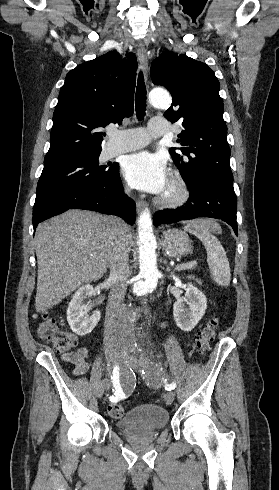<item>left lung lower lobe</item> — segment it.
<instances>
[{
    "mask_svg": "<svg viewBox=\"0 0 279 490\" xmlns=\"http://www.w3.org/2000/svg\"><path fill=\"white\" fill-rule=\"evenodd\" d=\"M188 187L190 191L188 202L175 210L156 212L153 220L155 226L207 217L227 222L238 236L237 198L233 181L203 175L196 178Z\"/></svg>",
    "mask_w": 279,
    "mask_h": 490,
    "instance_id": "0a47b994",
    "label": "left lung lower lobe"
}]
</instances>
